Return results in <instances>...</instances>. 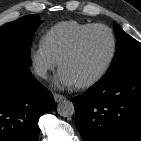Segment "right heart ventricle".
Masks as SVG:
<instances>
[{
    "label": "right heart ventricle",
    "mask_w": 141,
    "mask_h": 141,
    "mask_svg": "<svg viewBox=\"0 0 141 141\" xmlns=\"http://www.w3.org/2000/svg\"><path fill=\"white\" fill-rule=\"evenodd\" d=\"M92 25L94 23H84L76 20L58 22L43 33L40 45L58 61L76 36Z\"/></svg>",
    "instance_id": "1"
}]
</instances>
